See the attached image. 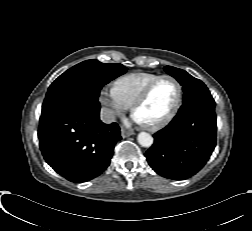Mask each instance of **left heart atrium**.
Returning a JSON list of instances; mask_svg holds the SVG:
<instances>
[{"label":"left heart atrium","instance_id":"1","mask_svg":"<svg viewBox=\"0 0 252 231\" xmlns=\"http://www.w3.org/2000/svg\"><path fill=\"white\" fill-rule=\"evenodd\" d=\"M134 121H135L136 123H138V124H144V123L142 122V120H141L139 117H137L136 115H134Z\"/></svg>","mask_w":252,"mask_h":231}]
</instances>
